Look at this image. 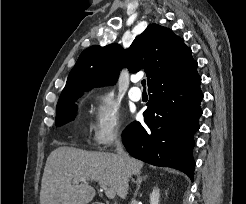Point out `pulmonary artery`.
I'll return each mask as SVG.
<instances>
[{"instance_id":"obj_1","label":"pulmonary artery","mask_w":246,"mask_h":204,"mask_svg":"<svg viewBox=\"0 0 246 204\" xmlns=\"http://www.w3.org/2000/svg\"><path fill=\"white\" fill-rule=\"evenodd\" d=\"M138 81H139V78L137 77L133 79L134 83H138ZM128 95H129V98L133 101H140L142 98V92L138 87H132L129 90Z\"/></svg>"}]
</instances>
